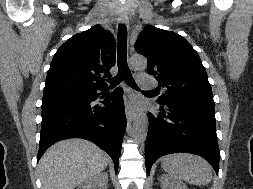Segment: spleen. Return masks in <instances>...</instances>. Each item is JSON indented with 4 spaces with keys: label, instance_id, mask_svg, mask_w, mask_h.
Listing matches in <instances>:
<instances>
[{
    "label": "spleen",
    "instance_id": "3e777b00",
    "mask_svg": "<svg viewBox=\"0 0 253 189\" xmlns=\"http://www.w3.org/2000/svg\"><path fill=\"white\" fill-rule=\"evenodd\" d=\"M162 168L174 179L184 180L195 185L208 184L212 179V168L200 156L188 153H175L164 156Z\"/></svg>",
    "mask_w": 253,
    "mask_h": 189
}]
</instances>
